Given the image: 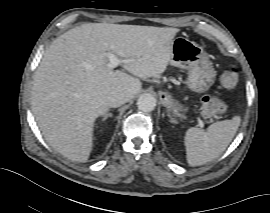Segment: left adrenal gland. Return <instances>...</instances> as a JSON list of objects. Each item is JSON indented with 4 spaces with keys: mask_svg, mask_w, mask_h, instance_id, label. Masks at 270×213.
<instances>
[{
    "mask_svg": "<svg viewBox=\"0 0 270 213\" xmlns=\"http://www.w3.org/2000/svg\"><path fill=\"white\" fill-rule=\"evenodd\" d=\"M170 121H171L172 123H176V121H175L174 119H172V118H171V120H170Z\"/></svg>",
    "mask_w": 270,
    "mask_h": 213,
    "instance_id": "1",
    "label": "left adrenal gland"
}]
</instances>
